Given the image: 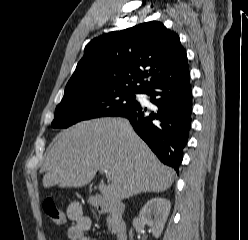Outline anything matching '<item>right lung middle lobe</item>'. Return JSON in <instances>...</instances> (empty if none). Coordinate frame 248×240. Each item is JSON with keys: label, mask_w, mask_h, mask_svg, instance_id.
Here are the masks:
<instances>
[{"label": "right lung middle lobe", "mask_w": 248, "mask_h": 240, "mask_svg": "<svg viewBox=\"0 0 248 240\" xmlns=\"http://www.w3.org/2000/svg\"><path fill=\"white\" fill-rule=\"evenodd\" d=\"M129 89L81 88L66 89L56 107L53 128H67L79 121L113 116L138 104Z\"/></svg>", "instance_id": "1"}]
</instances>
